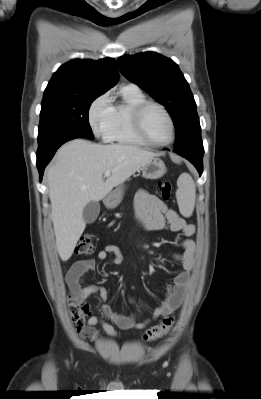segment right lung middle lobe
Instances as JSON below:
<instances>
[{"mask_svg": "<svg viewBox=\"0 0 261 399\" xmlns=\"http://www.w3.org/2000/svg\"><path fill=\"white\" fill-rule=\"evenodd\" d=\"M98 96L43 97L40 112L38 142L51 135L70 130L94 139L88 120L91 103Z\"/></svg>", "mask_w": 261, "mask_h": 399, "instance_id": "obj_1", "label": "right lung middle lobe"}]
</instances>
